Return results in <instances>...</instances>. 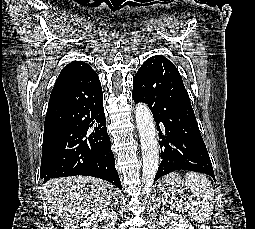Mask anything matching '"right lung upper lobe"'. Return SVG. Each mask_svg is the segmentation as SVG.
Returning <instances> with one entry per match:
<instances>
[{"label": "right lung upper lobe", "instance_id": "right-lung-upper-lobe-1", "mask_svg": "<svg viewBox=\"0 0 255 229\" xmlns=\"http://www.w3.org/2000/svg\"><path fill=\"white\" fill-rule=\"evenodd\" d=\"M89 67L88 64L82 61H73L65 66L59 74L54 88L52 90L50 100L61 96L67 85L79 74L83 73Z\"/></svg>", "mask_w": 255, "mask_h": 229}]
</instances>
